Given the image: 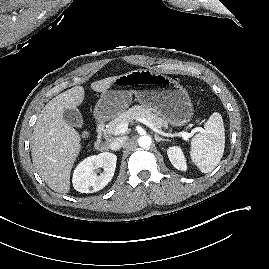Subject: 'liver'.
<instances>
[{
    "label": "liver",
    "mask_w": 269,
    "mask_h": 269,
    "mask_svg": "<svg viewBox=\"0 0 269 269\" xmlns=\"http://www.w3.org/2000/svg\"><path fill=\"white\" fill-rule=\"evenodd\" d=\"M117 77L93 82L91 88L104 92ZM84 97L82 86L59 94L45 105L34 126L33 163L46 184L59 193L69 192L71 169L82 148L79 133L63 119V112L82 104Z\"/></svg>",
    "instance_id": "obj_1"
}]
</instances>
